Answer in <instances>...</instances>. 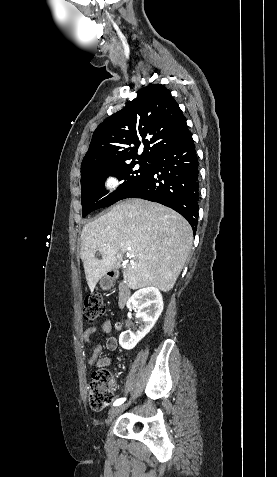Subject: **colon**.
Instances as JSON below:
<instances>
[{
    "label": "colon",
    "instance_id": "colon-1",
    "mask_svg": "<svg viewBox=\"0 0 277 477\" xmlns=\"http://www.w3.org/2000/svg\"><path fill=\"white\" fill-rule=\"evenodd\" d=\"M105 313L106 309L99 295L93 294L85 299L83 318L86 322L95 323ZM114 386L115 381L109 370L99 369L92 374L88 386V400L93 410H102L110 404L113 399Z\"/></svg>",
    "mask_w": 277,
    "mask_h": 477
}]
</instances>
